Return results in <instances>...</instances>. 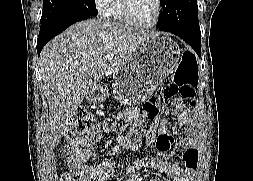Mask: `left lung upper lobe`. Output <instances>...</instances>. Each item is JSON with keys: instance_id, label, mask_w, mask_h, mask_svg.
Here are the masks:
<instances>
[{"instance_id": "5c2ea615", "label": "left lung upper lobe", "mask_w": 253, "mask_h": 181, "mask_svg": "<svg viewBox=\"0 0 253 181\" xmlns=\"http://www.w3.org/2000/svg\"><path fill=\"white\" fill-rule=\"evenodd\" d=\"M161 6L157 27L199 26L197 0H161Z\"/></svg>"}]
</instances>
